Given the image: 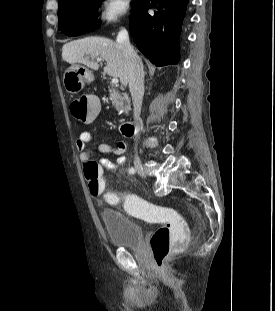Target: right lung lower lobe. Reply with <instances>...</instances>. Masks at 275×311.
Segmentation results:
<instances>
[{"label": "right lung lower lobe", "instance_id": "98d812e1", "mask_svg": "<svg viewBox=\"0 0 275 311\" xmlns=\"http://www.w3.org/2000/svg\"><path fill=\"white\" fill-rule=\"evenodd\" d=\"M188 0H157V11L148 14L150 2L142 0L130 16V32L138 49L156 66L177 64L179 60V34ZM87 27L79 28L78 35ZM76 36V35H75Z\"/></svg>", "mask_w": 275, "mask_h": 311}]
</instances>
